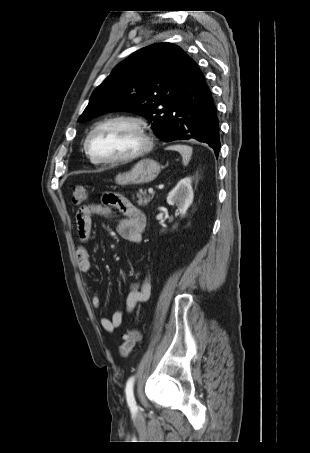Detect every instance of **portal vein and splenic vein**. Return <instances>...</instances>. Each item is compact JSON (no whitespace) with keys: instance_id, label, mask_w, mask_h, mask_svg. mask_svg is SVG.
Segmentation results:
<instances>
[{"instance_id":"obj_1","label":"portal vein and splenic vein","mask_w":310,"mask_h":453,"mask_svg":"<svg viewBox=\"0 0 310 453\" xmlns=\"http://www.w3.org/2000/svg\"><path fill=\"white\" fill-rule=\"evenodd\" d=\"M148 192H149L150 194H153V192H154L153 188H149V189H148Z\"/></svg>"}]
</instances>
